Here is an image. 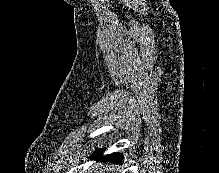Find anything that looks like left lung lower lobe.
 Segmentation results:
<instances>
[{"label": "left lung lower lobe", "mask_w": 219, "mask_h": 173, "mask_svg": "<svg viewBox=\"0 0 219 173\" xmlns=\"http://www.w3.org/2000/svg\"><path fill=\"white\" fill-rule=\"evenodd\" d=\"M102 150L99 149L95 154H93L91 156V158L93 159H99V160H105V161H111V162H116V163H121L122 161V155L119 153H113V154H109L107 156H102Z\"/></svg>", "instance_id": "0a47b994"}]
</instances>
